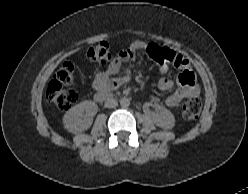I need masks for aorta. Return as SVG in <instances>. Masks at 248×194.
<instances>
[{
    "mask_svg": "<svg viewBox=\"0 0 248 194\" xmlns=\"http://www.w3.org/2000/svg\"><path fill=\"white\" fill-rule=\"evenodd\" d=\"M120 105H121V107H123V108L129 107V105H130V99H129V98H126V97L122 98V99L120 100Z\"/></svg>",
    "mask_w": 248,
    "mask_h": 194,
    "instance_id": "762f6f07",
    "label": "aorta"
}]
</instances>
